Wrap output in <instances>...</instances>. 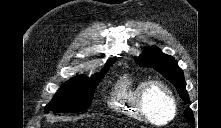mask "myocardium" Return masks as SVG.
Wrapping results in <instances>:
<instances>
[{"mask_svg":"<svg viewBox=\"0 0 221 128\" xmlns=\"http://www.w3.org/2000/svg\"><path fill=\"white\" fill-rule=\"evenodd\" d=\"M159 90L161 91L167 98L170 106H171V116L163 123H157L154 121L152 116L150 115L147 109V100L152 91ZM137 110L142 119L154 123V124H169L177 114V105L175 96L170 89V87L161 80H149L143 83L140 90L138 91L136 98Z\"/></svg>","mask_w":221,"mask_h":128,"instance_id":"f54148a6","label":"myocardium"}]
</instances>
